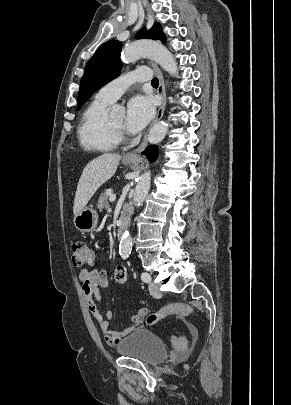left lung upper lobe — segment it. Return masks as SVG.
<instances>
[{
    "label": "left lung upper lobe",
    "instance_id": "5c2ea615",
    "mask_svg": "<svg viewBox=\"0 0 291 405\" xmlns=\"http://www.w3.org/2000/svg\"><path fill=\"white\" fill-rule=\"evenodd\" d=\"M136 37L138 39L145 38L166 42V37L158 22H155L150 30L143 29L140 31ZM121 47L122 43L118 40L108 41L101 45L88 61L80 83L77 110L81 108L93 92L119 75Z\"/></svg>",
    "mask_w": 291,
    "mask_h": 405
}]
</instances>
